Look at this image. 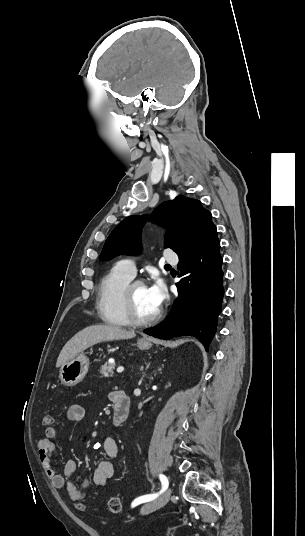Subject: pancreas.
Wrapping results in <instances>:
<instances>
[{"instance_id": "cf45deb5", "label": "pancreas", "mask_w": 305, "mask_h": 536, "mask_svg": "<svg viewBox=\"0 0 305 536\" xmlns=\"http://www.w3.org/2000/svg\"><path fill=\"white\" fill-rule=\"evenodd\" d=\"M116 364H110V362H106L104 366H101L99 372L101 374L100 378H113V370H115Z\"/></svg>"}]
</instances>
